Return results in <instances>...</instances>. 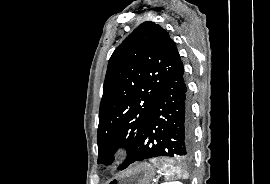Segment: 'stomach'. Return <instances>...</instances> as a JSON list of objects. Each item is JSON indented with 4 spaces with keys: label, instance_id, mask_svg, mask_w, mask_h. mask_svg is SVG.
I'll return each instance as SVG.
<instances>
[{
    "label": "stomach",
    "instance_id": "obj_1",
    "mask_svg": "<svg viewBox=\"0 0 270 184\" xmlns=\"http://www.w3.org/2000/svg\"><path fill=\"white\" fill-rule=\"evenodd\" d=\"M155 177V169L149 163H139L112 178L107 184H150Z\"/></svg>",
    "mask_w": 270,
    "mask_h": 184
}]
</instances>
